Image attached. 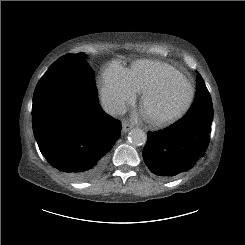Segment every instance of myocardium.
Returning a JSON list of instances; mask_svg holds the SVG:
<instances>
[{
    "instance_id": "obj_1",
    "label": "myocardium",
    "mask_w": 245,
    "mask_h": 245,
    "mask_svg": "<svg viewBox=\"0 0 245 245\" xmlns=\"http://www.w3.org/2000/svg\"><path fill=\"white\" fill-rule=\"evenodd\" d=\"M175 77H181L186 80L189 86V95L184 102V104L176 111L166 114V115H146L145 114V119L147 122H149L152 125L155 126H164L173 123L174 121L178 120L181 118L191 107L194 98H195V88L191 80L184 75L180 71H174L171 75H169L167 78L159 82L158 84L146 89L141 98L140 102V107L142 110H144L145 106L149 102V100L158 94H160L172 81Z\"/></svg>"
}]
</instances>
